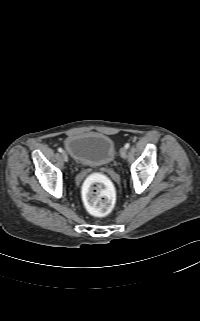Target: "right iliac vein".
Wrapping results in <instances>:
<instances>
[{"label": "right iliac vein", "instance_id": "63e3f726", "mask_svg": "<svg viewBox=\"0 0 200 321\" xmlns=\"http://www.w3.org/2000/svg\"><path fill=\"white\" fill-rule=\"evenodd\" d=\"M62 157H63V160L64 161H68V156H67V154H66V152H62Z\"/></svg>", "mask_w": 200, "mask_h": 321}]
</instances>
